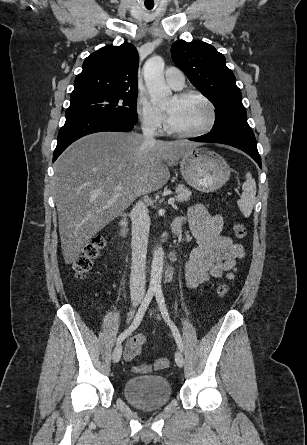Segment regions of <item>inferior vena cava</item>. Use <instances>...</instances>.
I'll return each instance as SVG.
<instances>
[{
	"label": "inferior vena cava",
	"instance_id": "obj_1",
	"mask_svg": "<svg viewBox=\"0 0 307 445\" xmlns=\"http://www.w3.org/2000/svg\"><path fill=\"white\" fill-rule=\"evenodd\" d=\"M154 124L142 120V132L145 142H156ZM132 218V267L130 275V293L133 304H140L145 295V267L150 220L148 208L144 202H137L131 210Z\"/></svg>",
	"mask_w": 307,
	"mask_h": 445
}]
</instances>
